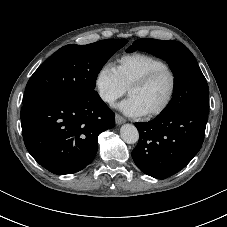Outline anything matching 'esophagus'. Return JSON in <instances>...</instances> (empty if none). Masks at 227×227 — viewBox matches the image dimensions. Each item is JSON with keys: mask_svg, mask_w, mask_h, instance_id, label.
Here are the masks:
<instances>
[{"mask_svg": "<svg viewBox=\"0 0 227 227\" xmlns=\"http://www.w3.org/2000/svg\"><path fill=\"white\" fill-rule=\"evenodd\" d=\"M115 122L118 125H121L126 122V119L119 114H115Z\"/></svg>", "mask_w": 227, "mask_h": 227, "instance_id": "1", "label": "esophagus"}]
</instances>
